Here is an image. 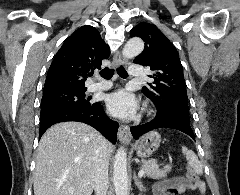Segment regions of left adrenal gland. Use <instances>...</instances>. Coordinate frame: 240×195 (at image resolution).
I'll return each mask as SVG.
<instances>
[{"label":"left adrenal gland","mask_w":240,"mask_h":195,"mask_svg":"<svg viewBox=\"0 0 240 195\" xmlns=\"http://www.w3.org/2000/svg\"><path fill=\"white\" fill-rule=\"evenodd\" d=\"M133 179H134V183H135V185H137L138 189H140V191H145L146 187H144L141 179H139L138 175H136V171H133Z\"/></svg>","instance_id":"obj_1"}]
</instances>
